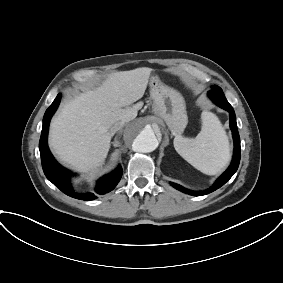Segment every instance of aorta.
I'll return each instance as SVG.
<instances>
[{
  "instance_id": "762f6f07",
  "label": "aorta",
  "mask_w": 283,
  "mask_h": 283,
  "mask_svg": "<svg viewBox=\"0 0 283 283\" xmlns=\"http://www.w3.org/2000/svg\"><path fill=\"white\" fill-rule=\"evenodd\" d=\"M125 139L135 152L140 153L152 152L159 144L152 127L145 122L130 125Z\"/></svg>"
}]
</instances>
